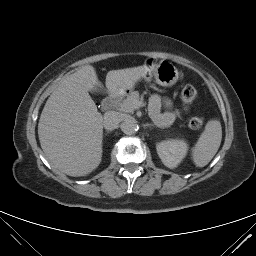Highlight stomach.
Wrapping results in <instances>:
<instances>
[{"mask_svg": "<svg viewBox=\"0 0 256 256\" xmlns=\"http://www.w3.org/2000/svg\"><path fill=\"white\" fill-rule=\"evenodd\" d=\"M144 66L147 67V70L143 78L147 82L155 79L157 84L163 87H171L177 82L179 78V72L177 68L168 61L162 60L158 63H155L152 60H148ZM133 87L134 85H132L128 90L133 89Z\"/></svg>", "mask_w": 256, "mask_h": 256, "instance_id": "0dacf381", "label": "stomach"}]
</instances>
